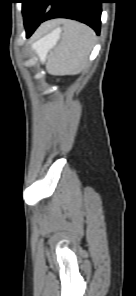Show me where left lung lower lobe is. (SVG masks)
<instances>
[{
    "instance_id": "0a47b994",
    "label": "left lung lower lobe",
    "mask_w": 136,
    "mask_h": 296,
    "mask_svg": "<svg viewBox=\"0 0 136 296\" xmlns=\"http://www.w3.org/2000/svg\"><path fill=\"white\" fill-rule=\"evenodd\" d=\"M101 3H104V0H53L43 18L26 28V37L29 38L40 23L53 18L78 20L89 25L99 34Z\"/></svg>"
}]
</instances>
